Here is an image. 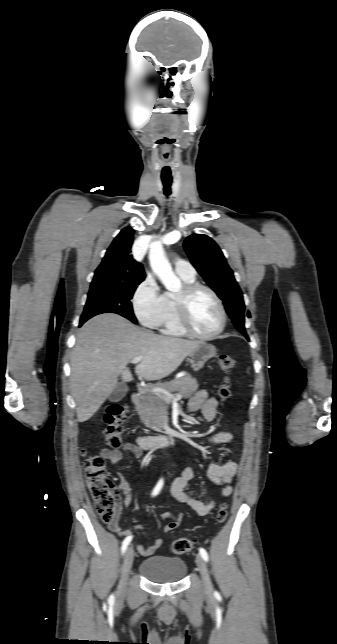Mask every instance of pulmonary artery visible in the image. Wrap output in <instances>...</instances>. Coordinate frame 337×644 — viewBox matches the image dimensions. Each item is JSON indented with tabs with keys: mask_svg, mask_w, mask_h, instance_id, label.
Segmentation results:
<instances>
[{
	"mask_svg": "<svg viewBox=\"0 0 337 644\" xmlns=\"http://www.w3.org/2000/svg\"><path fill=\"white\" fill-rule=\"evenodd\" d=\"M175 271L178 274L190 276V277L196 275L195 268L192 266L191 263L185 260H177L175 262Z\"/></svg>",
	"mask_w": 337,
	"mask_h": 644,
	"instance_id": "obj_1",
	"label": "pulmonary artery"
}]
</instances>
